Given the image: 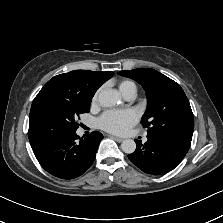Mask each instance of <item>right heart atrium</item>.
<instances>
[{"instance_id":"1","label":"right heart atrium","mask_w":223,"mask_h":223,"mask_svg":"<svg viewBox=\"0 0 223 223\" xmlns=\"http://www.w3.org/2000/svg\"><path fill=\"white\" fill-rule=\"evenodd\" d=\"M97 96H98V92H96L93 96V101L97 99Z\"/></svg>"}]
</instances>
